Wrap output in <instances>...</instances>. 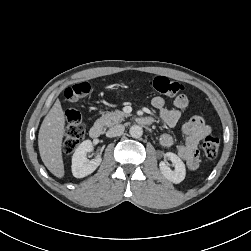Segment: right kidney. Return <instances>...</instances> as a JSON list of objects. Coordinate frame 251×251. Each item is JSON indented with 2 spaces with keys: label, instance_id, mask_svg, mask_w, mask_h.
Instances as JSON below:
<instances>
[{
  "label": "right kidney",
  "instance_id": "obj_1",
  "mask_svg": "<svg viewBox=\"0 0 251 251\" xmlns=\"http://www.w3.org/2000/svg\"><path fill=\"white\" fill-rule=\"evenodd\" d=\"M93 145L91 140L83 141L75 150L72 156V173L76 178H83L93 173L100 165L102 159L96 158L91 161L87 160V153L91 151Z\"/></svg>",
  "mask_w": 251,
  "mask_h": 251
}]
</instances>
